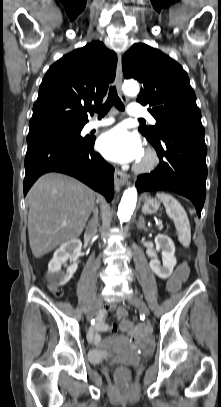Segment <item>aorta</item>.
Here are the masks:
<instances>
[{"label":"aorta","mask_w":221,"mask_h":407,"mask_svg":"<svg viewBox=\"0 0 221 407\" xmlns=\"http://www.w3.org/2000/svg\"><path fill=\"white\" fill-rule=\"evenodd\" d=\"M123 91L127 95H137L139 93V84L136 81H125L123 84ZM137 202V189L135 187H129L123 193L121 202L118 207V219L120 223L127 222L136 207Z\"/></svg>","instance_id":"1"}]
</instances>
